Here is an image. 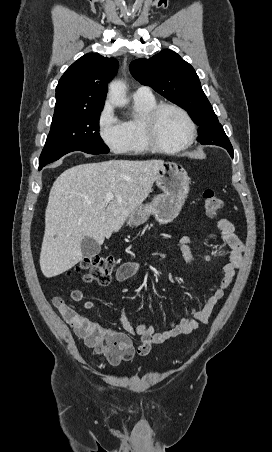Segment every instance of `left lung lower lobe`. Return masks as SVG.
<instances>
[{"mask_svg": "<svg viewBox=\"0 0 272 452\" xmlns=\"http://www.w3.org/2000/svg\"><path fill=\"white\" fill-rule=\"evenodd\" d=\"M225 149H227V151L229 152V154L231 155V157L233 158V148L231 143H224V145L222 146Z\"/></svg>", "mask_w": 272, "mask_h": 452, "instance_id": "1", "label": "left lung lower lobe"}]
</instances>
